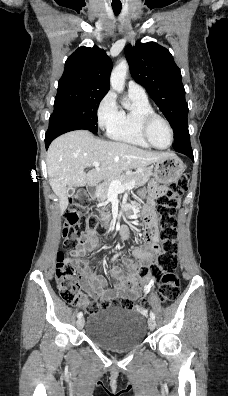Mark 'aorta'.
Segmentation results:
<instances>
[{"label":"aorta","mask_w":228,"mask_h":396,"mask_svg":"<svg viewBox=\"0 0 228 396\" xmlns=\"http://www.w3.org/2000/svg\"><path fill=\"white\" fill-rule=\"evenodd\" d=\"M128 71V63L126 60H121L120 63L113 69L110 77V84L114 91L122 92L125 85L126 74ZM124 108L129 107V103H123Z\"/></svg>","instance_id":"aorta-1"}]
</instances>
